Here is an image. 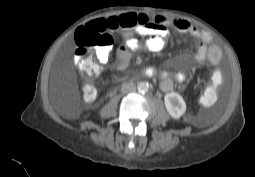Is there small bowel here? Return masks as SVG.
Returning a JSON list of instances; mask_svg holds the SVG:
<instances>
[{
  "label": "small bowel",
  "instance_id": "obj_1",
  "mask_svg": "<svg viewBox=\"0 0 255 177\" xmlns=\"http://www.w3.org/2000/svg\"><path fill=\"white\" fill-rule=\"evenodd\" d=\"M169 27L182 33H188L200 40L194 52L197 62L204 63L208 61L211 64H217L220 61L222 52L219 47L210 45L212 37L209 32L201 30L184 19L154 16L147 25L135 29L136 35L125 37L124 43L116 50L117 68L120 70L127 68L133 53L139 49H146L152 52L162 51L169 37ZM82 28L85 29L86 25L82 26ZM140 38H144V42H141ZM110 54L111 47L100 48L96 53V59L101 65H104L109 61ZM142 74L147 77L161 76L160 87L166 92L174 88V81L182 83L186 79L183 72L169 73L153 67L145 68Z\"/></svg>",
  "mask_w": 255,
  "mask_h": 177
}]
</instances>
